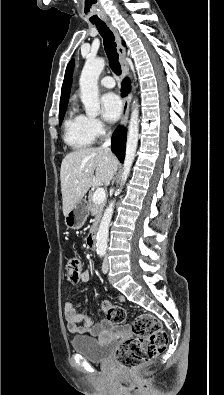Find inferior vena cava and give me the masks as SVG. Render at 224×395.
Instances as JSON below:
<instances>
[{
	"label": "inferior vena cava",
	"mask_w": 224,
	"mask_h": 395,
	"mask_svg": "<svg viewBox=\"0 0 224 395\" xmlns=\"http://www.w3.org/2000/svg\"><path fill=\"white\" fill-rule=\"evenodd\" d=\"M110 145H111V139L108 137L104 142V144L102 145V148L109 149Z\"/></svg>",
	"instance_id": "602c4592"
}]
</instances>
